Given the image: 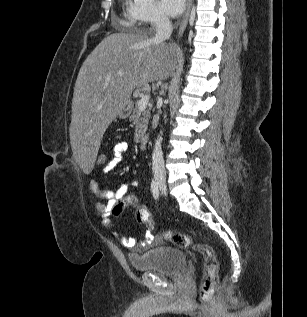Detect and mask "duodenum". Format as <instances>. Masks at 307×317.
Here are the masks:
<instances>
[{"instance_id": "1", "label": "duodenum", "mask_w": 307, "mask_h": 317, "mask_svg": "<svg viewBox=\"0 0 307 317\" xmlns=\"http://www.w3.org/2000/svg\"><path fill=\"white\" fill-rule=\"evenodd\" d=\"M140 143L142 147H146L148 144V137L147 136H142L140 137Z\"/></svg>"}]
</instances>
